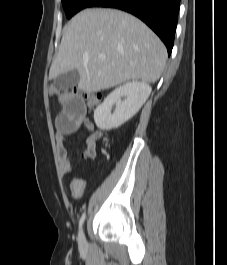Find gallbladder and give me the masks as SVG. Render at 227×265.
<instances>
[{"mask_svg":"<svg viewBox=\"0 0 227 265\" xmlns=\"http://www.w3.org/2000/svg\"><path fill=\"white\" fill-rule=\"evenodd\" d=\"M80 75L77 70L60 74L54 79V85L60 89H69L78 84Z\"/></svg>","mask_w":227,"mask_h":265,"instance_id":"gallbladder-1","label":"gallbladder"}]
</instances>
